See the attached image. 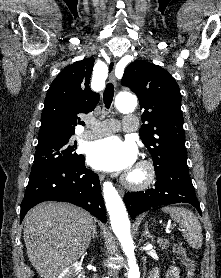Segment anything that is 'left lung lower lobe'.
<instances>
[{
	"label": "left lung lower lobe",
	"instance_id": "obj_1",
	"mask_svg": "<svg viewBox=\"0 0 221 278\" xmlns=\"http://www.w3.org/2000/svg\"><path fill=\"white\" fill-rule=\"evenodd\" d=\"M156 179L155 188L125 194L124 202L132 219L150 208L175 203L191 204L201 214L186 160L170 162L156 172Z\"/></svg>",
	"mask_w": 221,
	"mask_h": 278
}]
</instances>
